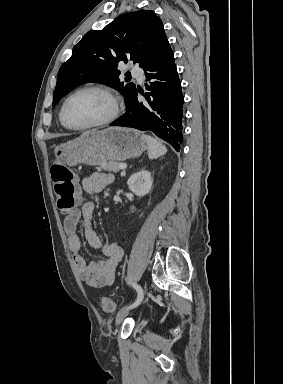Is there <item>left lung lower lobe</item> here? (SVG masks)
Here are the masks:
<instances>
[{"instance_id": "left-lung-lower-lobe-1", "label": "left lung lower lobe", "mask_w": 283, "mask_h": 384, "mask_svg": "<svg viewBox=\"0 0 283 384\" xmlns=\"http://www.w3.org/2000/svg\"><path fill=\"white\" fill-rule=\"evenodd\" d=\"M147 81L145 98L138 102L137 89L127 102V112L111 123L112 126L132 127L142 131L150 130L170 143L179 151L183 140V94L174 62V54L167 42L158 56L145 68ZM158 71L157 74L150 72Z\"/></svg>"}]
</instances>
